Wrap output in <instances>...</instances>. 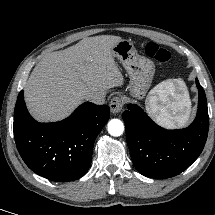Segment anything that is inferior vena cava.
I'll list each match as a JSON object with an SVG mask.
<instances>
[{
	"instance_id": "inferior-vena-cava-1",
	"label": "inferior vena cava",
	"mask_w": 215,
	"mask_h": 215,
	"mask_svg": "<svg viewBox=\"0 0 215 215\" xmlns=\"http://www.w3.org/2000/svg\"><path fill=\"white\" fill-rule=\"evenodd\" d=\"M86 100L97 105H102L105 102V95L102 93H90L86 96Z\"/></svg>"
}]
</instances>
